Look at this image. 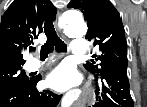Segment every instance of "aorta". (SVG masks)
I'll return each instance as SVG.
<instances>
[{"instance_id": "aorta-1", "label": "aorta", "mask_w": 147, "mask_h": 107, "mask_svg": "<svg viewBox=\"0 0 147 107\" xmlns=\"http://www.w3.org/2000/svg\"><path fill=\"white\" fill-rule=\"evenodd\" d=\"M87 26L80 17H71L70 19H64V33L71 38H81L86 35ZM82 103L87 102L85 96H80ZM64 106V105H63Z\"/></svg>"}]
</instances>
